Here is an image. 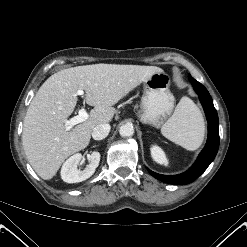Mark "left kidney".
I'll return each instance as SVG.
<instances>
[{
    "label": "left kidney",
    "instance_id": "1",
    "mask_svg": "<svg viewBox=\"0 0 247 247\" xmlns=\"http://www.w3.org/2000/svg\"><path fill=\"white\" fill-rule=\"evenodd\" d=\"M150 151H151V156L156 163L165 166L168 165V160L166 158V155L159 146L153 145L150 148Z\"/></svg>",
    "mask_w": 247,
    "mask_h": 247
}]
</instances>
